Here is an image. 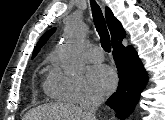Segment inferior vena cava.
I'll list each match as a JSON object with an SVG mask.
<instances>
[{
	"instance_id": "1",
	"label": "inferior vena cava",
	"mask_w": 165,
	"mask_h": 120,
	"mask_svg": "<svg viewBox=\"0 0 165 120\" xmlns=\"http://www.w3.org/2000/svg\"><path fill=\"white\" fill-rule=\"evenodd\" d=\"M104 98L95 93H89L85 100L81 103L82 120H96L95 113L102 104Z\"/></svg>"
}]
</instances>
